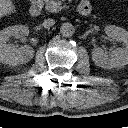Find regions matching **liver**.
<instances>
[{
    "mask_svg": "<svg viewBox=\"0 0 128 128\" xmlns=\"http://www.w3.org/2000/svg\"><path fill=\"white\" fill-rule=\"evenodd\" d=\"M15 9L12 0H0V18L13 13Z\"/></svg>",
    "mask_w": 128,
    "mask_h": 128,
    "instance_id": "6515ba94",
    "label": "liver"
}]
</instances>
